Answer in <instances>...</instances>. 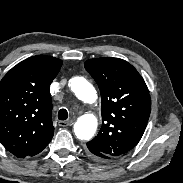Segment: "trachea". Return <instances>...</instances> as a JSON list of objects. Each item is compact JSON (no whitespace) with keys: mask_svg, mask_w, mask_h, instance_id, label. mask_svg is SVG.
Here are the masks:
<instances>
[{"mask_svg":"<svg viewBox=\"0 0 183 183\" xmlns=\"http://www.w3.org/2000/svg\"><path fill=\"white\" fill-rule=\"evenodd\" d=\"M68 118V112L66 109H60L58 112L59 120H66Z\"/></svg>","mask_w":183,"mask_h":183,"instance_id":"1","label":"trachea"}]
</instances>
